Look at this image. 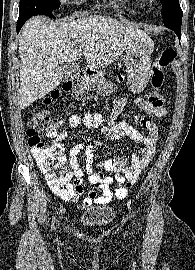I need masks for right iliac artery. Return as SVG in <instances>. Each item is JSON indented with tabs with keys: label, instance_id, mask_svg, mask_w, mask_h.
Segmentation results:
<instances>
[{
	"label": "right iliac artery",
	"instance_id": "82829eb1",
	"mask_svg": "<svg viewBox=\"0 0 195 270\" xmlns=\"http://www.w3.org/2000/svg\"><path fill=\"white\" fill-rule=\"evenodd\" d=\"M54 226V221L52 222V227Z\"/></svg>",
	"mask_w": 195,
	"mask_h": 270
}]
</instances>
